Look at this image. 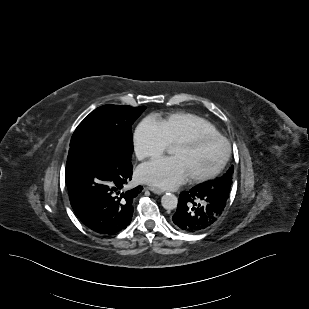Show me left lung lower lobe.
<instances>
[{
    "label": "left lung lower lobe",
    "mask_w": 309,
    "mask_h": 309,
    "mask_svg": "<svg viewBox=\"0 0 309 309\" xmlns=\"http://www.w3.org/2000/svg\"><path fill=\"white\" fill-rule=\"evenodd\" d=\"M229 193L200 184L179 196L172 220L176 228L186 233H200L211 227L222 215Z\"/></svg>",
    "instance_id": "obj_1"
}]
</instances>
